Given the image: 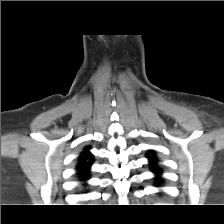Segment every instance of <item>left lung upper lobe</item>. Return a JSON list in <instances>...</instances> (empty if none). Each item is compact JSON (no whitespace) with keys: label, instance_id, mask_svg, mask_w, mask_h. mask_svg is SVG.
I'll return each mask as SVG.
<instances>
[{"label":"left lung upper lobe","instance_id":"5c2ea615","mask_svg":"<svg viewBox=\"0 0 224 224\" xmlns=\"http://www.w3.org/2000/svg\"><path fill=\"white\" fill-rule=\"evenodd\" d=\"M146 156L150 161V164L152 166V170H158V168H157L158 158L156 157L155 153L153 151H150V152L147 153Z\"/></svg>","mask_w":224,"mask_h":224}]
</instances>
